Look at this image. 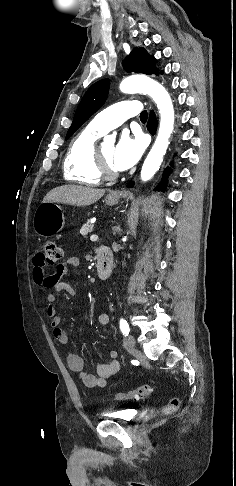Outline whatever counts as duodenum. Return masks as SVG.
I'll return each instance as SVG.
<instances>
[{"label": "duodenum", "mask_w": 236, "mask_h": 486, "mask_svg": "<svg viewBox=\"0 0 236 486\" xmlns=\"http://www.w3.org/2000/svg\"><path fill=\"white\" fill-rule=\"evenodd\" d=\"M97 254V274L102 280L110 277L113 270V254L111 249L107 246H99L96 250Z\"/></svg>", "instance_id": "obj_1"}]
</instances>
